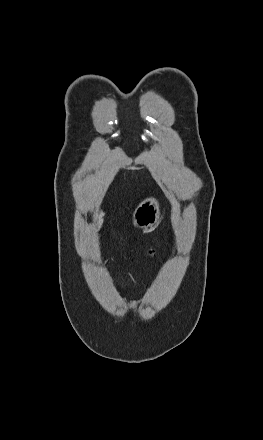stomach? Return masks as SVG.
Here are the masks:
<instances>
[{
	"instance_id": "stomach-1",
	"label": "stomach",
	"mask_w": 263,
	"mask_h": 440,
	"mask_svg": "<svg viewBox=\"0 0 263 440\" xmlns=\"http://www.w3.org/2000/svg\"><path fill=\"white\" fill-rule=\"evenodd\" d=\"M160 219L159 201L153 197L145 198L133 213V223L136 227L147 229L155 226Z\"/></svg>"
}]
</instances>
